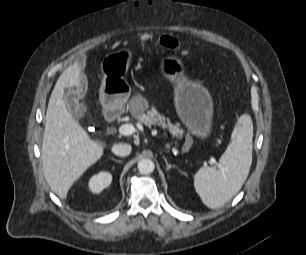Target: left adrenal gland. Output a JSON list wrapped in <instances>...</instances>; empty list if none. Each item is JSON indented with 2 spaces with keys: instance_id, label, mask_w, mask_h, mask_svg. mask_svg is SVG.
Listing matches in <instances>:
<instances>
[{
  "instance_id": "1",
  "label": "left adrenal gland",
  "mask_w": 306,
  "mask_h": 255,
  "mask_svg": "<svg viewBox=\"0 0 306 255\" xmlns=\"http://www.w3.org/2000/svg\"><path fill=\"white\" fill-rule=\"evenodd\" d=\"M163 159H164V161H165V163H166V166H167V170H168V171H169L171 168H176L175 165H171V164L168 163V161H167V159L165 158V156H163Z\"/></svg>"
}]
</instances>
